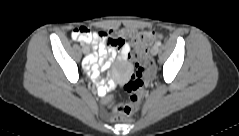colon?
Listing matches in <instances>:
<instances>
[{"label":"colon","mask_w":239,"mask_h":136,"mask_svg":"<svg viewBox=\"0 0 239 136\" xmlns=\"http://www.w3.org/2000/svg\"><path fill=\"white\" fill-rule=\"evenodd\" d=\"M91 31L87 27H79L74 30L73 35L76 40H85L90 38ZM99 36L107 38V44L111 47H120L125 40L115 31L97 32ZM158 36L156 32L134 33L131 42L134 45L131 58L135 62V72L130 76L124 89L129 93V101L126 104H119L113 108L112 118L117 122H125L135 113L141 104L142 90L144 86L145 75L153 67V62L148 55V46Z\"/></svg>","instance_id":"1"}]
</instances>
